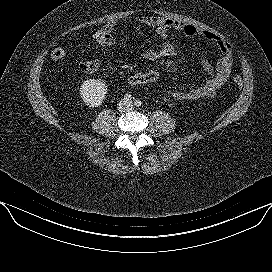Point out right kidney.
<instances>
[{"label":"right kidney","mask_w":272,"mask_h":272,"mask_svg":"<svg viewBox=\"0 0 272 272\" xmlns=\"http://www.w3.org/2000/svg\"><path fill=\"white\" fill-rule=\"evenodd\" d=\"M80 97L89 107H98L107 94V85L101 80L90 79L84 81L80 88Z\"/></svg>","instance_id":"ca27d5eb"}]
</instances>
